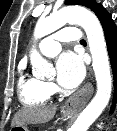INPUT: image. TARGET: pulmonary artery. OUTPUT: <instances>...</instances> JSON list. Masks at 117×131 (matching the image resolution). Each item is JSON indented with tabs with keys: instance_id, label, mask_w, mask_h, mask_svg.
Masks as SVG:
<instances>
[{
	"instance_id": "obj_1",
	"label": "pulmonary artery",
	"mask_w": 117,
	"mask_h": 131,
	"mask_svg": "<svg viewBox=\"0 0 117 131\" xmlns=\"http://www.w3.org/2000/svg\"><path fill=\"white\" fill-rule=\"evenodd\" d=\"M80 34L75 28H64L59 30L58 32L44 38L39 43V51L47 56L54 57L61 50V42H71V41H79Z\"/></svg>"
}]
</instances>
